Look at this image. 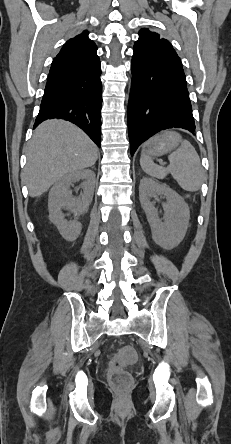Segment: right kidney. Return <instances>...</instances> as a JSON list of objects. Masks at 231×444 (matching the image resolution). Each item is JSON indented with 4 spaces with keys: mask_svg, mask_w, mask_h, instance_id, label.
Segmentation results:
<instances>
[{
    "mask_svg": "<svg viewBox=\"0 0 231 444\" xmlns=\"http://www.w3.org/2000/svg\"><path fill=\"white\" fill-rule=\"evenodd\" d=\"M81 182V199L73 198L70 186L75 182ZM95 174L91 170L83 169L69 173L57 181L49 192L48 209L50 220L56 225L60 234L68 241L75 240L81 230L82 224L76 217L73 221L65 219L62 209L75 213L76 216L83 213L93 199Z\"/></svg>",
    "mask_w": 231,
    "mask_h": 444,
    "instance_id": "1",
    "label": "right kidney"
}]
</instances>
